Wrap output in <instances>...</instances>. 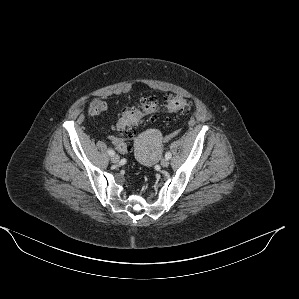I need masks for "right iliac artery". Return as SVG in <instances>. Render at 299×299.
<instances>
[{
    "mask_svg": "<svg viewBox=\"0 0 299 299\" xmlns=\"http://www.w3.org/2000/svg\"><path fill=\"white\" fill-rule=\"evenodd\" d=\"M108 154H109L110 156H112V155L115 154V152H114L112 149H109V150H108Z\"/></svg>",
    "mask_w": 299,
    "mask_h": 299,
    "instance_id": "1",
    "label": "right iliac artery"
}]
</instances>
